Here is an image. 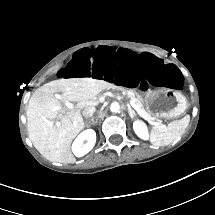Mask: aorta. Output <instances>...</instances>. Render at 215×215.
Returning <instances> with one entry per match:
<instances>
[{
    "label": "aorta",
    "instance_id": "1",
    "mask_svg": "<svg viewBox=\"0 0 215 215\" xmlns=\"http://www.w3.org/2000/svg\"><path fill=\"white\" fill-rule=\"evenodd\" d=\"M119 110H120V105H119L118 102H113V103L110 105V111H111V112L117 113Z\"/></svg>",
    "mask_w": 215,
    "mask_h": 215
}]
</instances>
